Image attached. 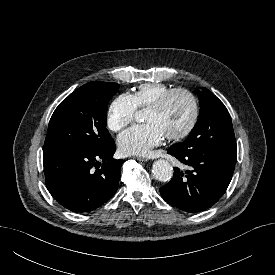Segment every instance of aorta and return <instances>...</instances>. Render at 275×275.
<instances>
[{
	"instance_id": "obj_1",
	"label": "aorta",
	"mask_w": 275,
	"mask_h": 275,
	"mask_svg": "<svg viewBox=\"0 0 275 275\" xmlns=\"http://www.w3.org/2000/svg\"><path fill=\"white\" fill-rule=\"evenodd\" d=\"M143 118V112L137 111L135 114V119L140 122ZM152 172L154 177L162 182L169 181L173 176V168L171 164L164 159H159L153 163Z\"/></svg>"
}]
</instances>
